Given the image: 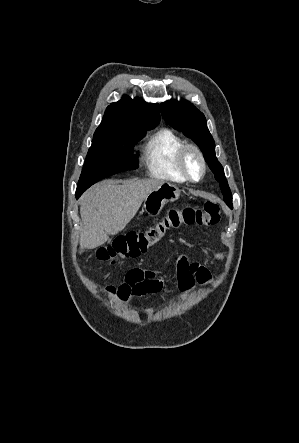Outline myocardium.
Returning a JSON list of instances; mask_svg holds the SVG:
<instances>
[{
    "label": "myocardium",
    "instance_id": "f54148a6",
    "mask_svg": "<svg viewBox=\"0 0 299 443\" xmlns=\"http://www.w3.org/2000/svg\"><path fill=\"white\" fill-rule=\"evenodd\" d=\"M191 154L197 158L200 164V173L197 177L191 174L187 164V159ZM178 167L186 180L190 182H199L202 180L206 174L207 164L201 149L195 144L184 145L178 154Z\"/></svg>",
    "mask_w": 299,
    "mask_h": 443
}]
</instances>
